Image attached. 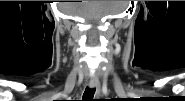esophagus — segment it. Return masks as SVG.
<instances>
[{"label":"esophagus","instance_id":"obj_1","mask_svg":"<svg viewBox=\"0 0 185 101\" xmlns=\"http://www.w3.org/2000/svg\"><path fill=\"white\" fill-rule=\"evenodd\" d=\"M90 88H95L96 90V96H99L100 93V86H99V81L97 78H91L89 82Z\"/></svg>","mask_w":185,"mask_h":101}]
</instances>
